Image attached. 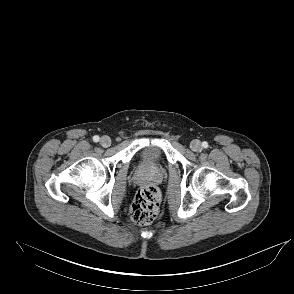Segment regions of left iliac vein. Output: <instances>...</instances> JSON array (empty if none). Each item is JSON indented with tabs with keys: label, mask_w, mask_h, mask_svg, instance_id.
Returning <instances> with one entry per match:
<instances>
[{
	"label": "left iliac vein",
	"mask_w": 294,
	"mask_h": 294,
	"mask_svg": "<svg viewBox=\"0 0 294 294\" xmlns=\"http://www.w3.org/2000/svg\"><path fill=\"white\" fill-rule=\"evenodd\" d=\"M201 143L199 140H193L190 144V148L195 151V152H198L201 150Z\"/></svg>",
	"instance_id": "left-iliac-vein-1"
}]
</instances>
